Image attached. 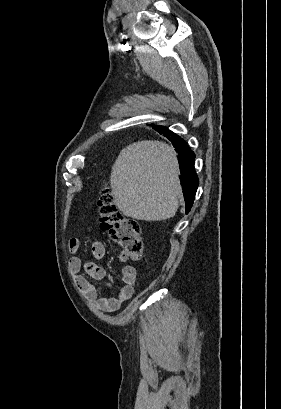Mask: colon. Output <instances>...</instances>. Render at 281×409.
Returning a JSON list of instances; mask_svg holds the SVG:
<instances>
[{
  "mask_svg": "<svg viewBox=\"0 0 281 409\" xmlns=\"http://www.w3.org/2000/svg\"><path fill=\"white\" fill-rule=\"evenodd\" d=\"M98 223L120 246L123 255L138 261L143 256V240L140 225L124 215L116 206L111 193L104 191L98 203Z\"/></svg>",
  "mask_w": 281,
  "mask_h": 409,
  "instance_id": "obj_1",
  "label": "colon"
}]
</instances>
